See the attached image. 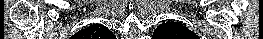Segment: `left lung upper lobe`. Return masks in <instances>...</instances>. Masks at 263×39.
<instances>
[{"mask_svg":"<svg viewBox=\"0 0 263 39\" xmlns=\"http://www.w3.org/2000/svg\"><path fill=\"white\" fill-rule=\"evenodd\" d=\"M154 39H199V37L184 25L167 21L160 24L153 34Z\"/></svg>","mask_w":263,"mask_h":39,"instance_id":"obj_1","label":"left lung upper lobe"}]
</instances>
